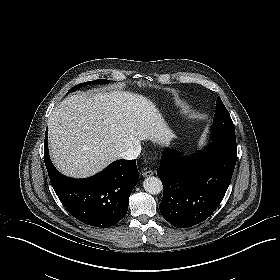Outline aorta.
<instances>
[{
  "mask_svg": "<svg viewBox=\"0 0 280 280\" xmlns=\"http://www.w3.org/2000/svg\"><path fill=\"white\" fill-rule=\"evenodd\" d=\"M143 187L149 194L157 195L162 191L163 185L158 177L150 176L144 180Z\"/></svg>",
  "mask_w": 280,
  "mask_h": 280,
  "instance_id": "1",
  "label": "aorta"
}]
</instances>
